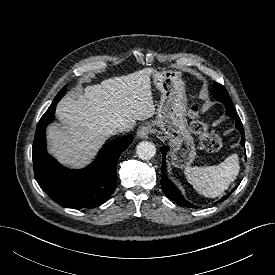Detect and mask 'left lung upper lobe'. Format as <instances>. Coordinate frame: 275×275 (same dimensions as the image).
Here are the masks:
<instances>
[{"label": "left lung upper lobe", "instance_id": "1", "mask_svg": "<svg viewBox=\"0 0 275 275\" xmlns=\"http://www.w3.org/2000/svg\"><path fill=\"white\" fill-rule=\"evenodd\" d=\"M214 95L218 101L231 100L226 89L219 83L214 82Z\"/></svg>", "mask_w": 275, "mask_h": 275}]
</instances>
